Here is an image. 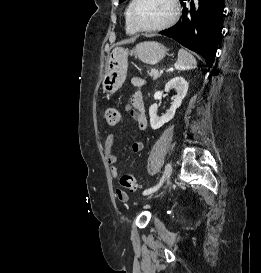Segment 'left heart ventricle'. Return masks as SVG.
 Here are the masks:
<instances>
[{"label":"left heart ventricle","mask_w":261,"mask_h":273,"mask_svg":"<svg viewBox=\"0 0 261 273\" xmlns=\"http://www.w3.org/2000/svg\"><path fill=\"white\" fill-rule=\"evenodd\" d=\"M172 14L169 0H138L133 21L140 27H153L166 22Z\"/></svg>","instance_id":"obj_1"}]
</instances>
